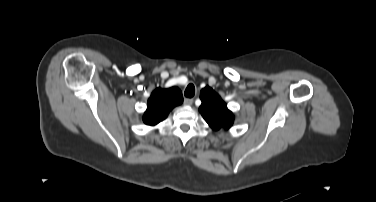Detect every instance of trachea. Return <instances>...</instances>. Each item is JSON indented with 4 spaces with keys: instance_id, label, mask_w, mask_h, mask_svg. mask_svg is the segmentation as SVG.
<instances>
[{
    "instance_id": "obj_1",
    "label": "trachea",
    "mask_w": 376,
    "mask_h": 202,
    "mask_svg": "<svg viewBox=\"0 0 376 202\" xmlns=\"http://www.w3.org/2000/svg\"><path fill=\"white\" fill-rule=\"evenodd\" d=\"M184 95L188 98H191L195 95V87L193 84H189L184 92Z\"/></svg>"
}]
</instances>
